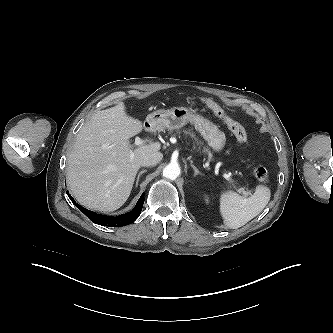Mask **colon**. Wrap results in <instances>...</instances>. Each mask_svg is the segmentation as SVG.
Masks as SVG:
<instances>
[{"label": "colon", "instance_id": "colon-1", "mask_svg": "<svg viewBox=\"0 0 333 333\" xmlns=\"http://www.w3.org/2000/svg\"><path fill=\"white\" fill-rule=\"evenodd\" d=\"M201 101L218 117L220 118L228 127L230 132L234 135L236 140L244 144L247 142V133L244 127L232 119L224 109L216 103L213 99L202 97ZM255 178L260 182H265L268 179L269 173L268 170L263 166H257L253 170Z\"/></svg>", "mask_w": 333, "mask_h": 333}]
</instances>
